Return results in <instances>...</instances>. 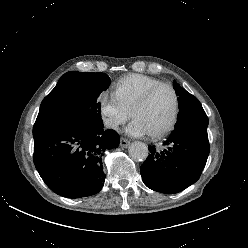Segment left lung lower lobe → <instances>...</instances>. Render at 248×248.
I'll use <instances>...</instances> for the list:
<instances>
[{
  "mask_svg": "<svg viewBox=\"0 0 248 248\" xmlns=\"http://www.w3.org/2000/svg\"><path fill=\"white\" fill-rule=\"evenodd\" d=\"M162 150L150 146L140 167L144 184L157 192L174 194L195 183L209 155L207 127L176 128L163 142Z\"/></svg>",
  "mask_w": 248,
  "mask_h": 248,
  "instance_id": "1",
  "label": "left lung lower lobe"
}]
</instances>
